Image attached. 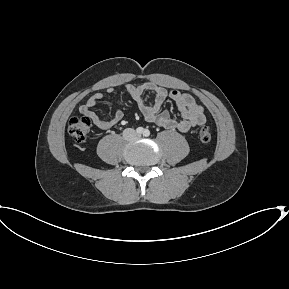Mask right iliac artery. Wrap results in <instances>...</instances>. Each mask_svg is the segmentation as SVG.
Wrapping results in <instances>:
<instances>
[{
    "label": "right iliac artery",
    "instance_id": "1",
    "mask_svg": "<svg viewBox=\"0 0 289 289\" xmlns=\"http://www.w3.org/2000/svg\"><path fill=\"white\" fill-rule=\"evenodd\" d=\"M136 132H137L138 134H142V133L144 132V129H143L142 127H138V128L136 129Z\"/></svg>",
    "mask_w": 289,
    "mask_h": 289
}]
</instances>
